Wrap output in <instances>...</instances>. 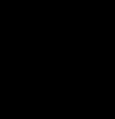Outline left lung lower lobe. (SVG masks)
<instances>
[{"label": "left lung lower lobe", "instance_id": "left-lung-lower-lobe-1", "mask_svg": "<svg viewBox=\"0 0 115 119\" xmlns=\"http://www.w3.org/2000/svg\"><path fill=\"white\" fill-rule=\"evenodd\" d=\"M78 95L85 101L97 104L115 103V75L105 76L101 73L100 79L86 75L77 86Z\"/></svg>", "mask_w": 115, "mask_h": 119}]
</instances>
